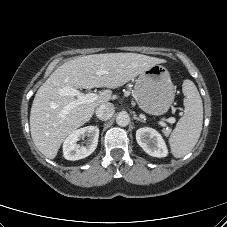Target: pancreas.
<instances>
[{
    "label": "pancreas",
    "mask_w": 227,
    "mask_h": 227,
    "mask_svg": "<svg viewBox=\"0 0 227 227\" xmlns=\"http://www.w3.org/2000/svg\"><path fill=\"white\" fill-rule=\"evenodd\" d=\"M164 132L166 135H168L170 133V130L168 129V130H165Z\"/></svg>",
    "instance_id": "pancreas-1"
}]
</instances>
